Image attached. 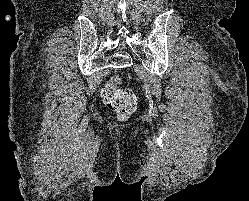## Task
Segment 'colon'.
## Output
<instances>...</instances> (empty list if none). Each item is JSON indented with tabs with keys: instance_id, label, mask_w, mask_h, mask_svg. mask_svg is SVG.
Masks as SVG:
<instances>
[{
	"instance_id": "5ec220e1",
	"label": "colon",
	"mask_w": 249,
	"mask_h": 201,
	"mask_svg": "<svg viewBox=\"0 0 249 201\" xmlns=\"http://www.w3.org/2000/svg\"><path fill=\"white\" fill-rule=\"evenodd\" d=\"M101 98L103 103L120 119L129 117L136 109L134 93L121 88L117 79H112L102 88Z\"/></svg>"
}]
</instances>
